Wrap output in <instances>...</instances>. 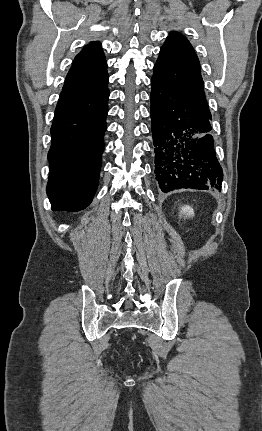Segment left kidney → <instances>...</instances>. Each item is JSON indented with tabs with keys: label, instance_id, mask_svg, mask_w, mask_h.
Segmentation results:
<instances>
[{
	"label": "left kidney",
	"instance_id": "1",
	"mask_svg": "<svg viewBox=\"0 0 262 431\" xmlns=\"http://www.w3.org/2000/svg\"><path fill=\"white\" fill-rule=\"evenodd\" d=\"M180 213L186 217L194 216V211L190 206L181 207Z\"/></svg>",
	"mask_w": 262,
	"mask_h": 431
}]
</instances>
